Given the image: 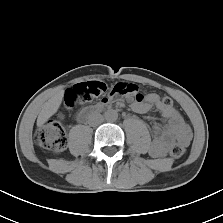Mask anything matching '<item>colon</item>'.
I'll return each instance as SVG.
<instances>
[{"mask_svg":"<svg viewBox=\"0 0 223 223\" xmlns=\"http://www.w3.org/2000/svg\"><path fill=\"white\" fill-rule=\"evenodd\" d=\"M106 86L98 81H89L71 86L65 95V102L73 106L78 102H86L104 94ZM133 97L142 99L138 85L129 82H119L110 91V97ZM162 104L171 107L174 99L166 96L161 99ZM35 142L41 147L52 151L63 150L67 145V136L64 127L58 120H50L35 133ZM170 155L180 158L185 153V145L181 142L173 143L169 148Z\"/></svg>","mask_w":223,"mask_h":223,"instance_id":"colon-1","label":"colon"}]
</instances>
